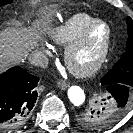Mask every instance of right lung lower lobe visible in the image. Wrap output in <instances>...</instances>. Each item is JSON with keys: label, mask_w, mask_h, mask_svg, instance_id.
I'll list each match as a JSON object with an SVG mask.
<instances>
[{"label": "right lung lower lobe", "mask_w": 133, "mask_h": 133, "mask_svg": "<svg viewBox=\"0 0 133 133\" xmlns=\"http://www.w3.org/2000/svg\"><path fill=\"white\" fill-rule=\"evenodd\" d=\"M39 78L20 67L0 74V128L10 130L22 125L37 100Z\"/></svg>", "instance_id": "obj_1"}]
</instances>
